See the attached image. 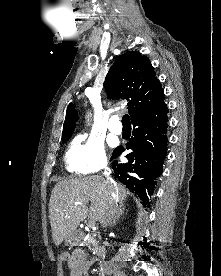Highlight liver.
Wrapping results in <instances>:
<instances>
[{"mask_svg": "<svg viewBox=\"0 0 221 276\" xmlns=\"http://www.w3.org/2000/svg\"><path fill=\"white\" fill-rule=\"evenodd\" d=\"M112 186L120 202L126 200L128 191L123 185L111 183L99 175L60 181L54 186L49 202V218L56 246L73 234L86 218L91 223L100 221Z\"/></svg>", "mask_w": 221, "mask_h": 276, "instance_id": "liver-1", "label": "liver"}]
</instances>
